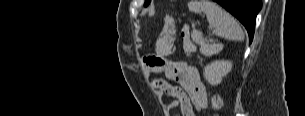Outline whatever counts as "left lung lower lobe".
<instances>
[{
  "mask_svg": "<svg viewBox=\"0 0 305 116\" xmlns=\"http://www.w3.org/2000/svg\"><path fill=\"white\" fill-rule=\"evenodd\" d=\"M234 15L246 28L252 42L256 16L261 10V0H214Z\"/></svg>",
  "mask_w": 305,
  "mask_h": 116,
  "instance_id": "obj_1",
  "label": "left lung lower lobe"
}]
</instances>
